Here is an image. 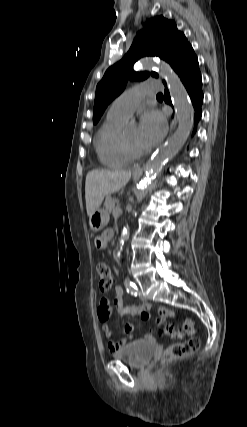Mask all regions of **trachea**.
I'll list each match as a JSON object with an SVG mask.
<instances>
[{"instance_id":"obj_1","label":"trachea","mask_w":247,"mask_h":427,"mask_svg":"<svg viewBox=\"0 0 247 427\" xmlns=\"http://www.w3.org/2000/svg\"><path fill=\"white\" fill-rule=\"evenodd\" d=\"M157 96H158V97H161V96H163V95H162L161 93H159V94H157Z\"/></svg>"}]
</instances>
